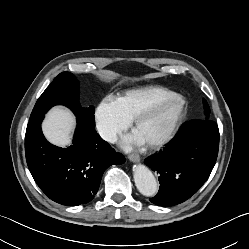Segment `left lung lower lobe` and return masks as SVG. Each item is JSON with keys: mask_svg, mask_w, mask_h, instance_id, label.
Here are the masks:
<instances>
[{"mask_svg": "<svg viewBox=\"0 0 249 249\" xmlns=\"http://www.w3.org/2000/svg\"><path fill=\"white\" fill-rule=\"evenodd\" d=\"M219 130L210 120L186 124L159 154L145 159L157 171L160 188L150 201L172 206L189 199L208 179L217 159Z\"/></svg>", "mask_w": 249, "mask_h": 249, "instance_id": "obj_1", "label": "left lung lower lobe"}]
</instances>
